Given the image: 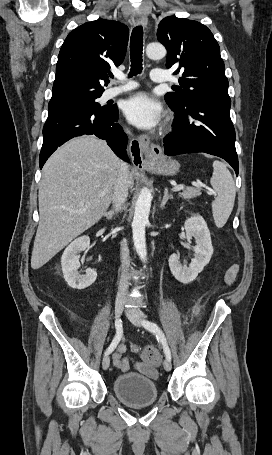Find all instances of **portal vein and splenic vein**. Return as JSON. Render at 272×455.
Segmentation results:
<instances>
[{
    "label": "portal vein and splenic vein",
    "instance_id": "obj_1",
    "mask_svg": "<svg viewBox=\"0 0 272 455\" xmlns=\"http://www.w3.org/2000/svg\"><path fill=\"white\" fill-rule=\"evenodd\" d=\"M183 188H184V185H177V186L173 187L172 191L178 192V191L182 190Z\"/></svg>",
    "mask_w": 272,
    "mask_h": 455
}]
</instances>
